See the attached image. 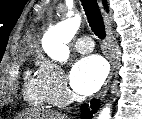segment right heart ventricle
<instances>
[{
  "label": "right heart ventricle",
  "mask_w": 142,
  "mask_h": 119,
  "mask_svg": "<svg viewBox=\"0 0 142 119\" xmlns=\"http://www.w3.org/2000/svg\"><path fill=\"white\" fill-rule=\"evenodd\" d=\"M24 95L33 105L42 106L50 102L47 87L39 75L32 77L27 74Z\"/></svg>",
  "instance_id": "obj_1"
}]
</instances>
